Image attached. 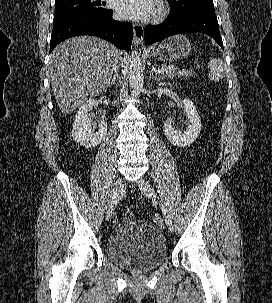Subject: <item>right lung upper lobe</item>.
<instances>
[{"label": "right lung upper lobe", "mask_w": 272, "mask_h": 303, "mask_svg": "<svg viewBox=\"0 0 272 303\" xmlns=\"http://www.w3.org/2000/svg\"><path fill=\"white\" fill-rule=\"evenodd\" d=\"M58 1H63V0H56L55 2H58Z\"/></svg>", "instance_id": "obj_1"}]
</instances>
